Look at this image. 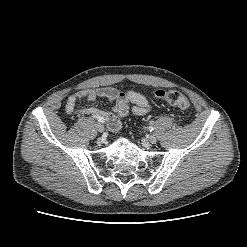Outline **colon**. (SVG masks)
Masks as SVG:
<instances>
[{
    "instance_id": "colon-1",
    "label": "colon",
    "mask_w": 247,
    "mask_h": 247,
    "mask_svg": "<svg viewBox=\"0 0 247 247\" xmlns=\"http://www.w3.org/2000/svg\"><path fill=\"white\" fill-rule=\"evenodd\" d=\"M156 97L180 110H187L190 106L187 97L175 90H158Z\"/></svg>"
}]
</instances>
